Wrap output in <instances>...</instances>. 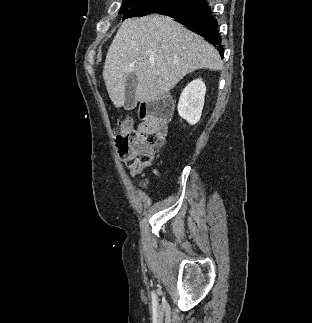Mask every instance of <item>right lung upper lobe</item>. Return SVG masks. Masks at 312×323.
Segmentation results:
<instances>
[{
  "label": "right lung upper lobe",
  "instance_id": "obj_1",
  "mask_svg": "<svg viewBox=\"0 0 312 323\" xmlns=\"http://www.w3.org/2000/svg\"><path fill=\"white\" fill-rule=\"evenodd\" d=\"M170 12H172V11H167V12H165V13H170Z\"/></svg>",
  "mask_w": 312,
  "mask_h": 323
}]
</instances>
